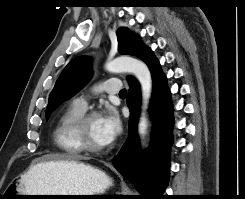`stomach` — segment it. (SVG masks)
<instances>
[{
    "label": "stomach",
    "mask_w": 245,
    "mask_h": 199,
    "mask_svg": "<svg viewBox=\"0 0 245 199\" xmlns=\"http://www.w3.org/2000/svg\"><path fill=\"white\" fill-rule=\"evenodd\" d=\"M38 168L44 169L42 166ZM55 169L49 172L45 170V173L37 174L28 180L22 176L21 180L12 182L8 188L13 191V195H98L97 193H102L112 184L111 179L103 171L83 162L60 164L56 165ZM25 197L27 196H18V198ZM66 198L80 197H37V199Z\"/></svg>",
    "instance_id": "0dacf381"
}]
</instances>
